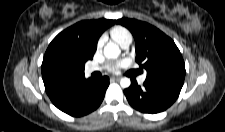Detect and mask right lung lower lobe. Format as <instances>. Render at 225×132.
Wrapping results in <instances>:
<instances>
[{
  "instance_id": "obj_1",
  "label": "right lung lower lobe",
  "mask_w": 225,
  "mask_h": 132,
  "mask_svg": "<svg viewBox=\"0 0 225 132\" xmlns=\"http://www.w3.org/2000/svg\"><path fill=\"white\" fill-rule=\"evenodd\" d=\"M108 86L107 76L86 79L83 75L47 94L58 109L80 117L99 107Z\"/></svg>"
}]
</instances>
